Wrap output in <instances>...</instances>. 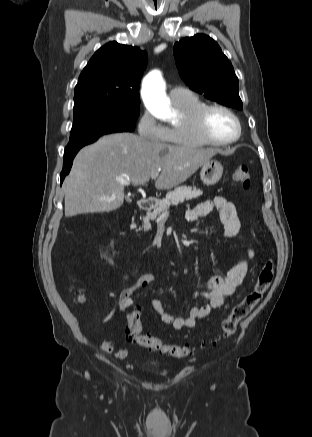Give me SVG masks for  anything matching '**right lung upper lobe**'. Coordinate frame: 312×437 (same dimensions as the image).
<instances>
[{"label":"right lung upper lobe","mask_w":312,"mask_h":437,"mask_svg":"<svg viewBox=\"0 0 312 437\" xmlns=\"http://www.w3.org/2000/svg\"><path fill=\"white\" fill-rule=\"evenodd\" d=\"M147 53L138 47L109 42L90 59L75 87L74 107L106 103L140 104V78L147 65Z\"/></svg>","instance_id":"right-lung-upper-lobe-1"}]
</instances>
